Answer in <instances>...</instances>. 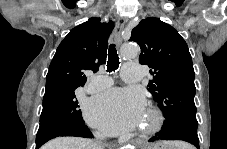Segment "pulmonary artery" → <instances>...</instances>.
Segmentation results:
<instances>
[{
	"label": "pulmonary artery",
	"mask_w": 227,
	"mask_h": 149,
	"mask_svg": "<svg viewBox=\"0 0 227 149\" xmlns=\"http://www.w3.org/2000/svg\"><path fill=\"white\" fill-rule=\"evenodd\" d=\"M143 75V69L140 64L128 63L123 66L122 78L127 83L139 82ZM112 84L111 79L104 75L92 76L91 89L94 91L104 89Z\"/></svg>",
	"instance_id": "1"
}]
</instances>
